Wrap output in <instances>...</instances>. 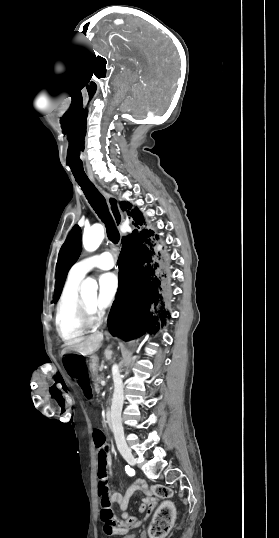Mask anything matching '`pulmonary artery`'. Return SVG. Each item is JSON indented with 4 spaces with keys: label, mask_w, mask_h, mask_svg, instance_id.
<instances>
[{
    "label": "pulmonary artery",
    "mask_w": 279,
    "mask_h": 538,
    "mask_svg": "<svg viewBox=\"0 0 279 538\" xmlns=\"http://www.w3.org/2000/svg\"><path fill=\"white\" fill-rule=\"evenodd\" d=\"M115 261L116 254L111 250H107L100 254L87 256L79 260L72 266L70 273L75 276H85L93 269H110L113 267Z\"/></svg>",
    "instance_id": "e3ab8cb5"
}]
</instances>
